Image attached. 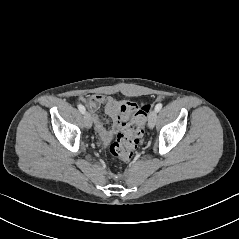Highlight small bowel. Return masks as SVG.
Listing matches in <instances>:
<instances>
[{
    "label": "small bowel",
    "instance_id": "1",
    "mask_svg": "<svg viewBox=\"0 0 239 239\" xmlns=\"http://www.w3.org/2000/svg\"><path fill=\"white\" fill-rule=\"evenodd\" d=\"M86 105L92 112L91 117L95 130L105 144H108L122 128L123 123L140 109L134 102L118 101L112 96L103 94L92 95L86 100ZM101 106L104 107L105 113L111 118L112 125L110 128L104 126L96 113Z\"/></svg>",
    "mask_w": 239,
    "mask_h": 239
}]
</instances>
